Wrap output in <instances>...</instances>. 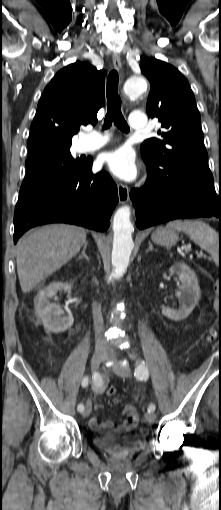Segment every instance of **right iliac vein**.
<instances>
[{"mask_svg": "<svg viewBox=\"0 0 221 510\" xmlns=\"http://www.w3.org/2000/svg\"><path fill=\"white\" fill-rule=\"evenodd\" d=\"M107 358V354L103 352H95L91 358V367L93 371H96L101 362H103ZM92 404L90 401L86 402L85 409L82 413L83 417H88L91 413Z\"/></svg>", "mask_w": 221, "mask_h": 510, "instance_id": "obj_1", "label": "right iliac vein"}]
</instances>
